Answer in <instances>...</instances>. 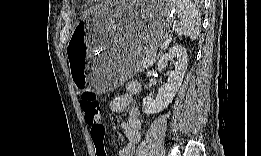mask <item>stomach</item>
I'll list each match as a JSON object with an SVG mask.
<instances>
[{"mask_svg": "<svg viewBox=\"0 0 261 156\" xmlns=\"http://www.w3.org/2000/svg\"><path fill=\"white\" fill-rule=\"evenodd\" d=\"M171 12V5L162 2H105L88 11L67 49L76 89L103 92L132 77L146 54L156 52L165 39Z\"/></svg>", "mask_w": 261, "mask_h": 156, "instance_id": "0dacf381", "label": "stomach"}]
</instances>
